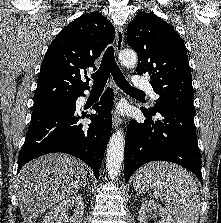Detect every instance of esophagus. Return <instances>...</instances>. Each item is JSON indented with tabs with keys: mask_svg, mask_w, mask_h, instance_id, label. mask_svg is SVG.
<instances>
[{
	"mask_svg": "<svg viewBox=\"0 0 221 223\" xmlns=\"http://www.w3.org/2000/svg\"><path fill=\"white\" fill-rule=\"evenodd\" d=\"M123 43H124V29L122 26H116V42H115L116 54H118L121 51ZM112 122L114 128H117L122 123L121 117L116 112L113 113Z\"/></svg>",
	"mask_w": 221,
	"mask_h": 223,
	"instance_id": "34e87169",
	"label": "esophagus"
}]
</instances>
